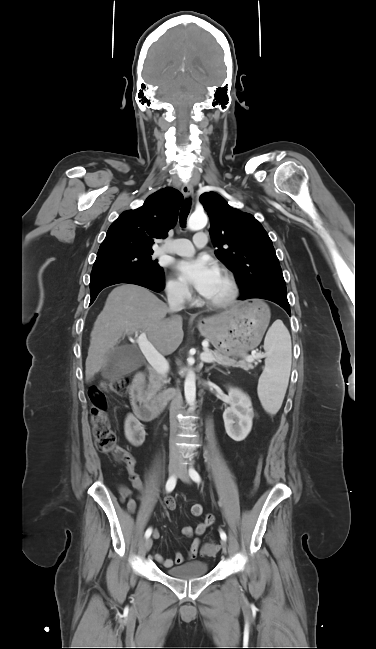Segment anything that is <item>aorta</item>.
Masks as SVG:
<instances>
[{"mask_svg":"<svg viewBox=\"0 0 376 649\" xmlns=\"http://www.w3.org/2000/svg\"><path fill=\"white\" fill-rule=\"evenodd\" d=\"M207 216L204 212H194L188 221L189 229L193 231L203 229L207 224ZM184 394L187 403L192 406L196 400V381L194 372L190 371L185 379Z\"/></svg>","mask_w":376,"mask_h":649,"instance_id":"obj_1","label":"aorta"}]
</instances>
